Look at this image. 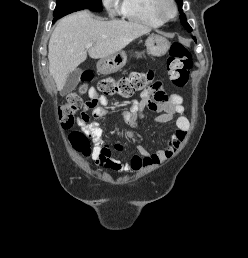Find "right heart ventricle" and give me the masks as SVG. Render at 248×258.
I'll list each match as a JSON object with an SVG mask.
<instances>
[{
	"mask_svg": "<svg viewBox=\"0 0 248 258\" xmlns=\"http://www.w3.org/2000/svg\"><path fill=\"white\" fill-rule=\"evenodd\" d=\"M154 0H122L121 13L129 21L160 27L164 21L153 9Z\"/></svg>",
	"mask_w": 248,
	"mask_h": 258,
	"instance_id": "e07e8e85",
	"label": "right heart ventricle"
}]
</instances>
